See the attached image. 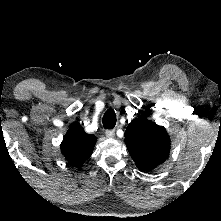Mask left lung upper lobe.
Returning <instances> with one entry per match:
<instances>
[{
	"label": "left lung upper lobe",
	"instance_id": "obj_1",
	"mask_svg": "<svg viewBox=\"0 0 221 221\" xmlns=\"http://www.w3.org/2000/svg\"><path fill=\"white\" fill-rule=\"evenodd\" d=\"M125 144L141 171L154 169L169 156L170 139L166 129L148 119L139 118L128 124Z\"/></svg>",
	"mask_w": 221,
	"mask_h": 221
}]
</instances>
